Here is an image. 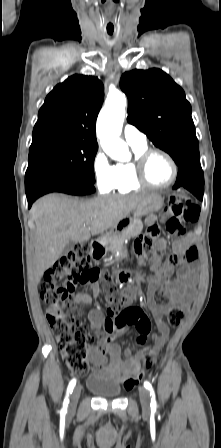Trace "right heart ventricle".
Returning a JSON list of instances; mask_svg holds the SVG:
<instances>
[{"instance_id":"obj_1","label":"right heart ventricle","mask_w":221,"mask_h":448,"mask_svg":"<svg viewBox=\"0 0 221 448\" xmlns=\"http://www.w3.org/2000/svg\"><path fill=\"white\" fill-rule=\"evenodd\" d=\"M135 157L147 149V145L142 147L132 146ZM133 161L120 163L116 166V181L113 187L118 193H129L143 187L135 178Z\"/></svg>"}]
</instances>
